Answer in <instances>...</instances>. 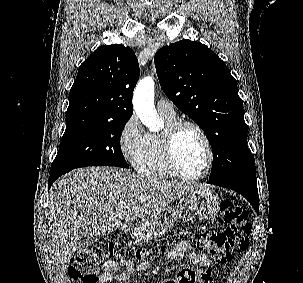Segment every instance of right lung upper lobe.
Wrapping results in <instances>:
<instances>
[{"mask_svg":"<svg viewBox=\"0 0 303 283\" xmlns=\"http://www.w3.org/2000/svg\"><path fill=\"white\" fill-rule=\"evenodd\" d=\"M140 70L135 53L123 45L101 46L79 67L66 118L129 120Z\"/></svg>","mask_w":303,"mask_h":283,"instance_id":"1","label":"right lung upper lobe"}]
</instances>
